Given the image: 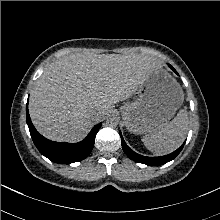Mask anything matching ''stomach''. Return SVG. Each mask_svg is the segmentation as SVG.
<instances>
[{"label": "stomach", "instance_id": "0dacf381", "mask_svg": "<svg viewBox=\"0 0 220 220\" xmlns=\"http://www.w3.org/2000/svg\"><path fill=\"white\" fill-rule=\"evenodd\" d=\"M184 101L180 84L162 67L139 86V97L122 107L127 129L135 134L156 132L167 125Z\"/></svg>", "mask_w": 220, "mask_h": 220}]
</instances>
